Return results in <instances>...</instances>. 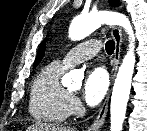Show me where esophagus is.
<instances>
[{"instance_id": "1", "label": "esophagus", "mask_w": 147, "mask_h": 131, "mask_svg": "<svg viewBox=\"0 0 147 131\" xmlns=\"http://www.w3.org/2000/svg\"><path fill=\"white\" fill-rule=\"evenodd\" d=\"M112 36L115 41V49H114V55L113 59L111 61L112 65V70H111V76H110V85L112 86L113 81L115 79L117 70H118V65L120 62V53H121V45H122V32L121 29L117 26H114L112 28ZM110 92L111 89H109L106 98L102 104V107L99 110V113L94 120V122L87 128L86 131H99L100 128L103 126L106 118V114L108 111V104H109V98H110Z\"/></svg>"}]
</instances>
